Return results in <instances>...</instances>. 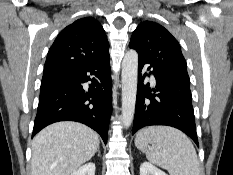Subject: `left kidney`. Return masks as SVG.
I'll return each mask as SVG.
<instances>
[{
    "label": "left kidney",
    "instance_id": "1",
    "mask_svg": "<svg viewBox=\"0 0 233 175\" xmlns=\"http://www.w3.org/2000/svg\"><path fill=\"white\" fill-rule=\"evenodd\" d=\"M140 175H167L149 162H143L140 166Z\"/></svg>",
    "mask_w": 233,
    "mask_h": 175
}]
</instances>
